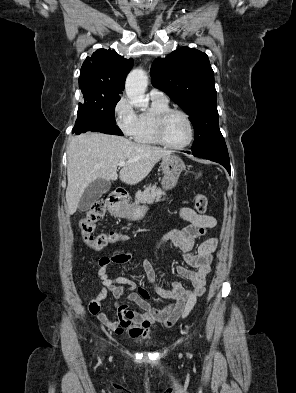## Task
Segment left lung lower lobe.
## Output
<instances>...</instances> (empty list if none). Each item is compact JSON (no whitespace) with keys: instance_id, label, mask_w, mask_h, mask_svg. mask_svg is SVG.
Instances as JSON below:
<instances>
[{"instance_id":"left-lung-lower-lobe-1","label":"left lung lower lobe","mask_w":296,"mask_h":393,"mask_svg":"<svg viewBox=\"0 0 296 393\" xmlns=\"http://www.w3.org/2000/svg\"><path fill=\"white\" fill-rule=\"evenodd\" d=\"M196 157L205 158L223 165L231 174L230 160L227 148L210 149L202 152H192Z\"/></svg>"}]
</instances>
